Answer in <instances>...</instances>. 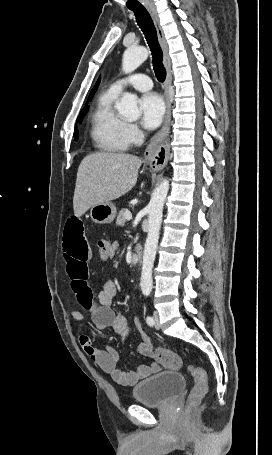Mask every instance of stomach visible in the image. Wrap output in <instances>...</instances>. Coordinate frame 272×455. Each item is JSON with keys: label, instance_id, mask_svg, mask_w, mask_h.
Wrapping results in <instances>:
<instances>
[{"label": "stomach", "instance_id": "1", "mask_svg": "<svg viewBox=\"0 0 272 455\" xmlns=\"http://www.w3.org/2000/svg\"><path fill=\"white\" fill-rule=\"evenodd\" d=\"M116 216V207L112 202H106L91 207L90 217L98 224L111 223Z\"/></svg>", "mask_w": 272, "mask_h": 455}]
</instances>
